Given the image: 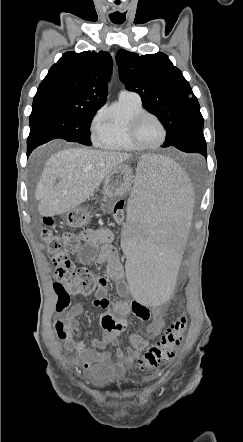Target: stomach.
I'll return each instance as SVG.
<instances>
[{"mask_svg":"<svg viewBox=\"0 0 243 442\" xmlns=\"http://www.w3.org/2000/svg\"><path fill=\"white\" fill-rule=\"evenodd\" d=\"M133 183V172L129 165H118L105 178L103 184V200L121 197L130 192V186ZM91 211L87 207H76L67 212L64 216L66 224L77 228L85 225L91 219Z\"/></svg>","mask_w":243,"mask_h":442,"instance_id":"stomach-1","label":"stomach"}]
</instances>
